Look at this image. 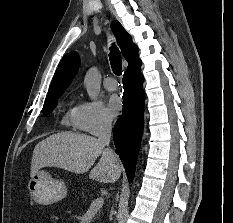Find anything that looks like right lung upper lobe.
Listing matches in <instances>:
<instances>
[{
	"label": "right lung upper lobe",
	"mask_w": 233,
	"mask_h": 223,
	"mask_svg": "<svg viewBox=\"0 0 233 223\" xmlns=\"http://www.w3.org/2000/svg\"><path fill=\"white\" fill-rule=\"evenodd\" d=\"M111 28L117 38L124 58L129 62L127 71L140 67L141 61L138 59V50L136 45L132 42L131 36L118 21L112 22ZM79 64L80 58L77 52H70L64 55L54 74L44 106L56 103L57 99L64 93L65 89L76 75Z\"/></svg>",
	"instance_id": "obj_1"
}]
</instances>
